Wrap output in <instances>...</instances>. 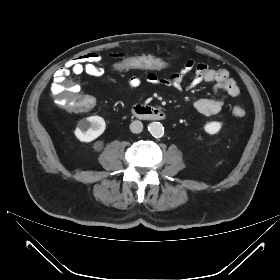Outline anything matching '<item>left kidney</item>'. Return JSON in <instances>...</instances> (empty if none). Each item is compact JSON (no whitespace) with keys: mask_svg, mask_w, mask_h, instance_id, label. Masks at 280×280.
I'll use <instances>...</instances> for the list:
<instances>
[{"mask_svg":"<svg viewBox=\"0 0 280 280\" xmlns=\"http://www.w3.org/2000/svg\"><path fill=\"white\" fill-rule=\"evenodd\" d=\"M222 127V124L220 122H209L204 126V130L208 133V134H216L220 131Z\"/></svg>","mask_w":280,"mask_h":280,"instance_id":"1","label":"left kidney"}]
</instances>
